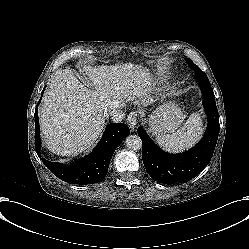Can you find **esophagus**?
I'll use <instances>...</instances> for the list:
<instances>
[{
  "label": "esophagus",
  "instance_id": "1",
  "mask_svg": "<svg viewBox=\"0 0 249 249\" xmlns=\"http://www.w3.org/2000/svg\"><path fill=\"white\" fill-rule=\"evenodd\" d=\"M138 120H139V115L137 112L133 111L129 114L127 118V123L132 132H134L137 128Z\"/></svg>",
  "mask_w": 249,
  "mask_h": 249
}]
</instances>
